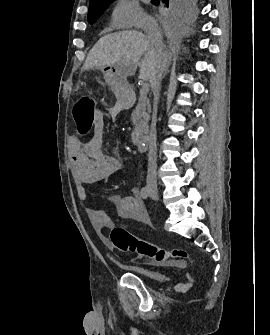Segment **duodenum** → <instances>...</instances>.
Masks as SVG:
<instances>
[{
  "label": "duodenum",
  "instance_id": "duodenum-1",
  "mask_svg": "<svg viewBox=\"0 0 270 335\" xmlns=\"http://www.w3.org/2000/svg\"><path fill=\"white\" fill-rule=\"evenodd\" d=\"M134 101V95L127 89L121 92V104L124 108H128ZM136 147L140 152H146L148 149V140L145 136L138 137L135 141Z\"/></svg>",
  "mask_w": 270,
  "mask_h": 335
}]
</instances>
